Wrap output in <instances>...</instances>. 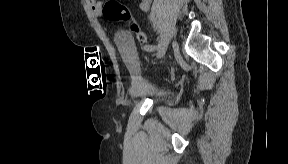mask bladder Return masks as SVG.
Returning <instances> with one entry per match:
<instances>
[{"label": "bladder", "mask_w": 288, "mask_h": 164, "mask_svg": "<svg viewBox=\"0 0 288 164\" xmlns=\"http://www.w3.org/2000/svg\"><path fill=\"white\" fill-rule=\"evenodd\" d=\"M118 44L127 67L134 77V84L131 90L132 96L136 98H150L154 102L163 100L165 98V91L156 83L141 76L140 61L134 46L123 36L119 37Z\"/></svg>", "instance_id": "1"}]
</instances>
